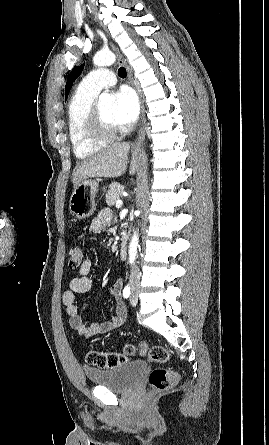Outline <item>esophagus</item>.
<instances>
[{
	"mask_svg": "<svg viewBox=\"0 0 269 445\" xmlns=\"http://www.w3.org/2000/svg\"><path fill=\"white\" fill-rule=\"evenodd\" d=\"M111 47L113 48V50L116 53L118 62L125 66V68L127 70L128 80L132 84V86L135 88V90L139 96L140 106H141V118H140L139 130H138L137 138H136V145L139 146L143 143V141L145 139V125H146L145 108H144V101H143L142 93H141L139 86L133 80L132 70H131V67L128 65L126 59L120 53L118 48H116L113 44H111Z\"/></svg>",
	"mask_w": 269,
	"mask_h": 445,
	"instance_id": "obj_1",
	"label": "esophagus"
}]
</instances>
